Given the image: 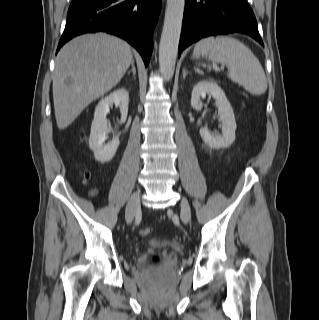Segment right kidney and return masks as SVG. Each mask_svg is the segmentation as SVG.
<instances>
[{
	"instance_id": "right-kidney-1",
	"label": "right kidney",
	"mask_w": 319,
	"mask_h": 320,
	"mask_svg": "<svg viewBox=\"0 0 319 320\" xmlns=\"http://www.w3.org/2000/svg\"><path fill=\"white\" fill-rule=\"evenodd\" d=\"M128 103L129 94L127 90L120 88L102 98L95 109L89 137V148L94 152L95 159L102 163L110 161L119 146V135H114L111 142L104 145L109 133L106 118L109 107L115 104L116 107L120 108L122 124L127 119Z\"/></svg>"
}]
</instances>
